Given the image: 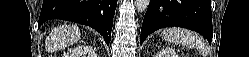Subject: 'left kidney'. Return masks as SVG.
Instances as JSON below:
<instances>
[{
	"instance_id": "5707ae66",
	"label": "left kidney",
	"mask_w": 249,
	"mask_h": 57,
	"mask_svg": "<svg viewBox=\"0 0 249 57\" xmlns=\"http://www.w3.org/2000/svg\"><path fill=\"white\" fill-rule=\"evenodd\" d=\"M155 57H179V55L172 48H164L157 52Z\"/></svg>"
}]
</instances>
